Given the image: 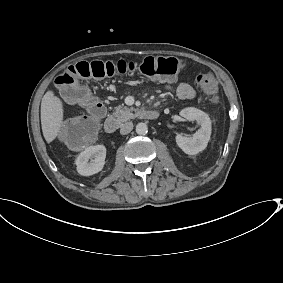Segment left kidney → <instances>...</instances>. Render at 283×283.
<instances>
[{
    "mask_svg": "<svg viewBox=\"0 0 283 283\" xmlns=\"http://www.w3.org/2000/svg\"><path fill=\"white\" fill-rule=\"evenodd\" d=\"M180 115L188 121H196L201 125L200 130L195 133L192 140L178 135L176 145L187 155H197L204 151L209 143L211 135V120L203 111L196 108H186L180 112Z\"/></svg>",
    "mask_w": 283,
    "mask_h": 283,
    "instance_id": "left-kidney-1",
    "label": "left kidney"
}]
</instances>
